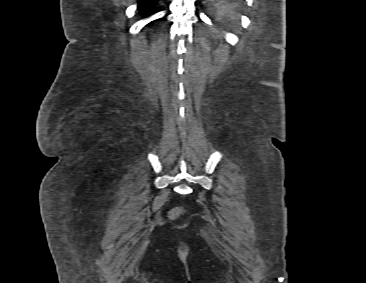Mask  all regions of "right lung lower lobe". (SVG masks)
I'll list each match as a JSON object with an SVG mask.
<instances>
[{
	"mask_svg": "<svg viewBox=\"0 0 366 283\" xmlns=\"http://www.w3.org/2000/svg\"><path fill=\"white\" fill-rule=\"evenodd\" d=\"M137 1L139 11L143 13L145 16H149L150 11L157 0H137Z\"/></svg>",
	"mask_w": 366,
	"mask_h": 283,
	"instance_id": "1",
	"label": "right lung lower lobe"
}]
</instances>
